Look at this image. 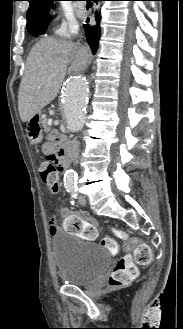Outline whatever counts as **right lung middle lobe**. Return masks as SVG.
<instances>
[{"mask_svg": "<svg viewBox=\"0 0 183 329\" xmlns=\"http://www.w3.org/2000/svg\"><path fill=\"white\" fill-rule=\"evenodd\" d=\"M48 22H41L39 24L34 25L31 29H29V33L33 36L41 35L45 32L46 26Z\"/></svg>", "mask_w": 183, "mask_h": 329, "instance_id": "right-lung-middle-lobe-1", "label": "right lung middle lobe"}]
</instances>
